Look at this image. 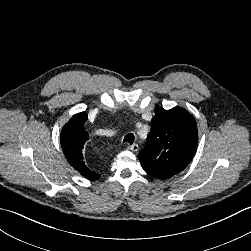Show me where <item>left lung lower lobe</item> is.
Returning <instances> with one entry per match:
<instances>
[{"mask_svg":"<svg viewBox=\"0 0 251 251\" xmlns=\"http://www.w3.org/2000/svg\"><path fill=\"white\" fill-rule=\"evenodd\" d=\"M150 176L154 177V178H158V179H168L171 178L172 176H174V174L171 173H164V172H157L154 170H150L147 168H143Z\"/></svg>","mask_w":251,"mask_h":251,"instance_id":"0a47b994","label":"left lung lower lobe"}]
</instances>
